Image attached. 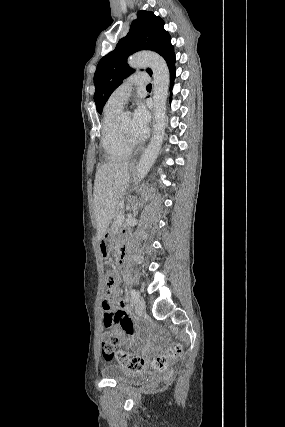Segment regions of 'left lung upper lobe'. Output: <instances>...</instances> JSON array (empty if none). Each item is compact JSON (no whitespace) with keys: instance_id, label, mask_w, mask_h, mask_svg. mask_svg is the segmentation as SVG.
I'll list each match as a JSON object with an SVG mask.
<instances>
[{"instance_id":"obj_1","label":"left lung upper lobe","mask_w":285,"mask_h":427,"mask_svg":"<svg viewBox=\"0 0 285 427\" xmlns=\"http://www.w3.org/2000/svg\"><path fill=\"white\" fill-rule=\"evenodd\" d=\"M140 50L155 51L167 63L175 57L171 37L164 30V21L159 16H155L153 12L144 10L137 13V19L132 22L127 36L122 38L116 48L105 55L97 65L94 75L96 88L94 101L98 113H102L112 92L134 72L127 65V58ZM146 71L152 73L150 69Z\"/></svg>"}]
</instances>
